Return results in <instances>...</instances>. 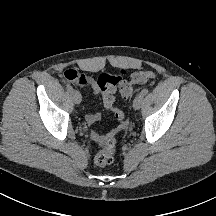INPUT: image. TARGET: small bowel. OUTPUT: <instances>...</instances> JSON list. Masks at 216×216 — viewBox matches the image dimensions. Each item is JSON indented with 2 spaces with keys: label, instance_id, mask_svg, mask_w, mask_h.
<instances>
[{
  "label": "small bowel",
  "instance_id": "c3829d8e",
  "mask_svg": "<svg viewBox=\"0 0 216 216\" xmlns=\"http://www.w3.org/2000/svg\"><path fill=\"white\" fill-rule=\"evenodd\" d=\"M77 84L88 87L92 89V91L96 95L102 94L101 89L99 88L97 81L88 75L81 74V77L75 81ZM103 95V94H102ZM104 107L109 110V108L104 104ZM101 119V114L99 112H89L86 114L85 120L88 125H93ZM121 129V126L115 128L109 133H101L99 131L93 130L90 132V138L97 143H103L107 139L111 138L115 133H117Z\"/></svg>",
  "mask_w": 216,
  "mask_h": 216
}]
</instances>
